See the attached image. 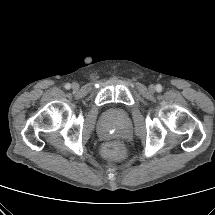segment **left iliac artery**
I'll return each mask as SVG.
<instances>
[{
  "label": "left iliac artery",
  "mask_w": 215,
  "mask_h": 215,
  "mask_svg": "<svg viewBox=\"0 0 215 215\" xmlns=\"http://www.w3.org/2000/svg\"><path fill=\"white\" fill-rule=\"evenodd\" d=\"M156 90H157L158 92H160V91L162 90V86H161L160 84H158V85L156 86Z\"/></svg>",
  "instance_id": "left-iliac-artery-1"
}]
</instances>
